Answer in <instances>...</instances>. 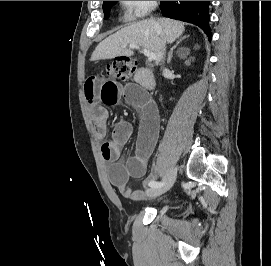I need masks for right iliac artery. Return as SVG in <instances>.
Wrapping results in <instances>:
<instances>
[{
	"mask_svg": "<svg viewBox=\"0 0 271 266\" xmlns=\"http://www.w3.org/2000/svg\"><path fill=\"white\" fill-rule=\"evenodd\" d=\"M161 185H163V183L162 182H157V181H151L149 183V186L152 187V188L159 187Z\"/></svg>",
	"mask_w": 271,
	"mask_h": 266,
	"instance_id": "right-iliac-artery-1",
	"label": "right iliac artery"
}]
</instances>
